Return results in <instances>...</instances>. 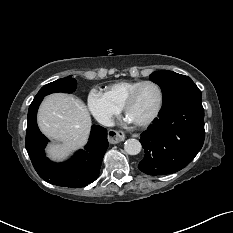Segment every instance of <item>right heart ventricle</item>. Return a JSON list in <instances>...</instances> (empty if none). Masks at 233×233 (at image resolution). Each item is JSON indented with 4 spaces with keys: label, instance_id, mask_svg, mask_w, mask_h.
I'll list each match as a JSON object with an SVG mask.
<instances>
[{
    "label": "right heart ventricle",
    "instance_id": "obj_1",
    "mask_svg": "<svg viewBox=\"0 0 233 233\" xmlns=\"http://www.w3.org/2000/svg\"><path fill=\"white\" fill-rule=\"evenodd\" d=\"M143 81H119L106 87V94L118 106L123 107L131 91Z\"/></svg>",
    "mask_w": 233,
    "mask_h": 233
}]
</instances>
